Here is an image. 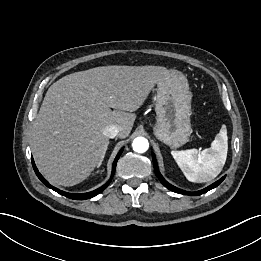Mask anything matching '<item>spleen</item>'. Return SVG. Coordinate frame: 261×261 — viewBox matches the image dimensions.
Masks as SVG:
<instances>
[{
	"label": "spleen",
	"instance_id": "1",
	"mask_svg": "<svg viewBox=\"0 0 261 261\" xmlns=\"http://www.w3.org/2000/svg\"><path fill=\"white\" fill-rule=\"evenodd\" d=\"M227 151V130L223 125L210 148L201 152L197 149L172 151L171 154L189 181L204 183L220 174L227 158Z\"/></svg>",
	"mask_w": 261,
	"mask_h": 261
}]
</instances>
